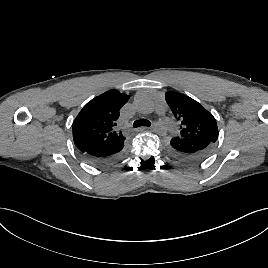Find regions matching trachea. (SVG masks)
<instances>
[{
  "label": "trachea",
  "instance_id": "obj_1",
  "mask_svg": "<svg viewBox=\"0 0 268 268\" xmlns=\"http://www.w3.org/2000/svg\"><path fill=\"white\" fill-rule=\"evenodd\" d=\"M140 126L150 127L151 126V122L149 120H146V119H139V120H136L133 123V127H135V128L140 127Z\"/></svg>",
  "mask_w": 268,
  "mask_h": 268
}]
</instances>
